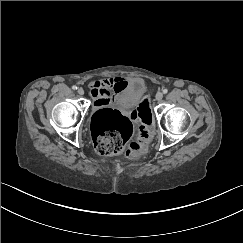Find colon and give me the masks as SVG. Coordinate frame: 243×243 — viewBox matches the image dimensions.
<instances>
[{"label":"colon","mask_w":243,"mask_h":243,"mask_svg":"<svg viewBox=\"0 0 243 243\" xmlns=\"http://www.w3.org/2000/svg\"><path fill=\"white\" fill-rule=\"evenodd\" d=\"M136 117L141 125L133 141V126L128 118L110 107L97 109L91 118V129L98 153L104 156L122 154L129 158L142 154L152 136L153 116L148 99L137 108Z\"/></svg>","instance_id":"colon-1"}]
</instances>
